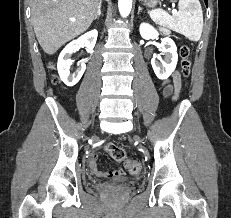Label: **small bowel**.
<instances>
[{"instance_id":"1","label":"small bowel","mask_w":231,"mask_h":218,"mask_svg":"<svg viewBox=\"0 0 231 218\" xmlns=\"http://www.w3.org/2000/svg\"><path fill=\"white\" fill-rule=\"evenodd\" d=\"M181 88V78L179 72H175L172 76L171 82L162 84V94L164 97H171L172 100H177ZM98 154L92 153L89 158V167L91 172L99 177H120L124 174L123 169H114L102 171L97 165Z\"/></svg>"}]
</instances>
